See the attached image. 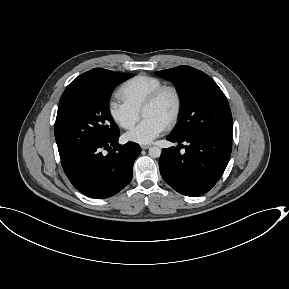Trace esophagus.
<instances>
[{
    "label": "esophagus",
    "instance_id": "1",
    "mask_svg": "<svg viewBox=\"0 0 289 289\" xmlns=\"http://www.w3.org/2000/svg\"><path fill=\"white\" fill-rule=\"evenodd\" d=\"M150 147V145H141V149L143 150L149 149Z\"/></svg>",
    "mask_w": 289,
    "mask_h": 289
}]
</instances>
